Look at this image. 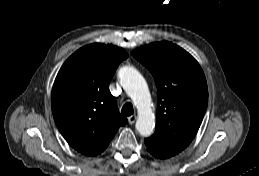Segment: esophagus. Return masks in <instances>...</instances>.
<instances>
[{"label":"esophagus","mask_w":259,"mask_h":176,"mask_svg":"<svg viewBox=\"0 0 259 176\" xmlns=\"http://www.w3.org/2000/svg\"><path fill=\"white\" fill-rule=\"evenodd\" d=\"M135 121H136V116L135 115H131V116L128 117L129 124L132 125V124L135 123Z\"/></svg>","instance_id":"esophagus-1"}]
</instances>
